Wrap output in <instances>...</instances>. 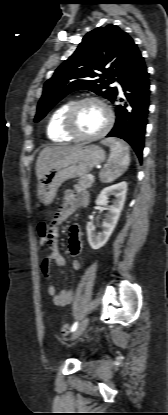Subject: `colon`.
I'll return each instance as SVG.
<instances>
[{
	"label": "colon",
	"mask_w": 168,
	"mask_h": 415,
	"mask_svg": "<svg viewBox=\"0 0 168 415\" xmlns=\"http://www.w3.org/2000/svg\"><path fill=\"white\" fill-rule=\"evenodd\" d=\"M38 235H39V239L41 244H44L47 242L48 236H49V230H48V225L46 222H41L38 225ZM61 331L64 335H68L70 328L68 324H63L61 327Z\"/></svg>",
	"instance_id": "obj_1"
}]
</instances>
